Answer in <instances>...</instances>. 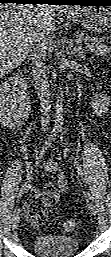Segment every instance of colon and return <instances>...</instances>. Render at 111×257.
I'll return each mask as SVG.
<instances>
[{
	"mask_svg": "<svg viewBox=\"0 0 111 257\" xmlns=\"http://www.w3.org/2000/svg\"><path fill=\"white\" fill-rule=\"evenodd\" d=\"M63 228L67 232H73L77 228V223L75 220H72V219L66 220L63 223Z\"/></svg>",
	"mask_w": 111,
	"mask_h": 257,
	"instance_id": "colon-1",
	"label": "colon"
}]
</instances>
